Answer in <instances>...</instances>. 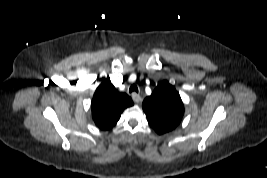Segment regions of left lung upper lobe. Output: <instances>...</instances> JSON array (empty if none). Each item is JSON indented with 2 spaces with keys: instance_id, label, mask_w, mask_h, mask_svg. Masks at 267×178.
<instances>
[{
  "instance_id": "5c2ea615",
  "label": "left lung upper lobe",
  "mask_w": 267,
  "mask_h": 178,
  "mask_svg": "<svg viewBox=\"0 0 267 178\" xmlns=\"http://www.w3.org/2000/svg\"><path fill=\"white\" fill-rule=\"evenodd\" d=\"M151 127L163 134L176 128L184 114L179 93L167 81L160 83L142 104Z\"/></svg>"
}]
</instances>
